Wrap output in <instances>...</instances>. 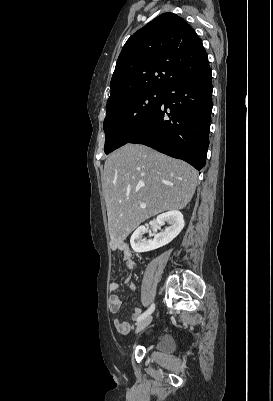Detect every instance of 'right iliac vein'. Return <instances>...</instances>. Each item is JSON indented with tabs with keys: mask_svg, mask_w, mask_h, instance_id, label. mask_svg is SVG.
I'll use <instances>...</instances> for the list:
<instances>
[{
	"mask_svg": "<svg viewBox=\"0 0 273 401\" xmlns=\"http://www.w3.org/2000/svg\"><path fill=\"white\" fill-rule=\"evenodd\" d=\"M152 322V316H147L143 320L137 323L136 326V333L142 331L144 328H146L150 323Z\"/></svg>",
	"mask_w": 273,
	"mask_h": 401,
	"instance_id": "63e3f726",
	"label": "right iliac vein"
}]
</instances>
